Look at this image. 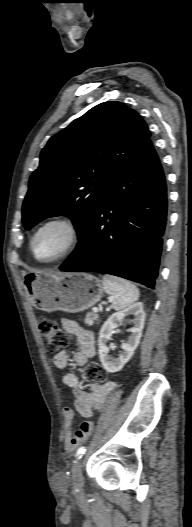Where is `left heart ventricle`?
Returning <instances> with one entry per match:
<instances>
[{
    "label": "left heart ventricle",
    "mask_w": 192,
    "mask_h": 527,
    "mask_svg": "<svg viewBox=\"0 0 192 527\" xmlns=\"http://www.w3.org/2000/svg\"><path fill=\"white\" fill-rule=\"evenodd\" d=\"M69 232L62 224H51L37 236L35 250L40 258L47 259L58 254L67 244Z\"/></svg>",
    "instance_id": "left-heart-ventricle-1"
}]
</instances>
